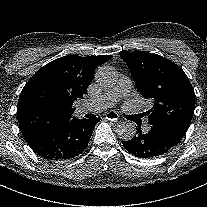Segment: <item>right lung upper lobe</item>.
Instances as JSON below:
<instances>
[{
    "mask_svg": "<svg viewBox=\"0 0 207 207\" xmlns=\"http://www.w3.org/2000/svg\"><path fill=\"white\" fill-rule=\"evenodd\" d=\"M112 56H64L39 69L22 89L17 119L27 143L52 133L74 116L73 103L86 93L97 66Z\"/></svg>",
    "mask_w": 207,
    "mask_h": 207,
    "instance_id": "right-lung-upper-lobe-1",
    "label": "right lung upper lobe"
}]
</instances>
